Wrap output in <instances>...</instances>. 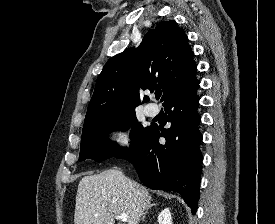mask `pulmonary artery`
Segmentation results:
<instances>
[{"label": "pulmonary artery", "mask_w": 275, "mask_h": 224, "mask_svg": "<svg viewBox=\"0 0 275 224\" xmlns=\"http://www.w3.org/2000/svg\"><path fill=\"white\" fill-rule=\"evenodd\" d=\"M145 112L148 116H155L158 110L154 104H149L145 107Z\"/></svg>", "instance_id": "1"}]
</instances>
